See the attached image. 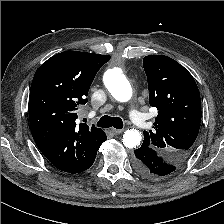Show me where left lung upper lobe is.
<instances>
[{
  "instance_id": "5c2ea615",
  "label": "left lung upper lobe",
  "mask_w": 224,
  "mask_h": 224,
  "mask_svg": "<svg viewBox=\"0 0 224 224\" xmlns=\"http://www.w3.org/2000/svg\"><path fill=\"white\" fill-rule=\"evenodd\" d=\"M150 105L158 109L154 130L144 131V146L152 148L174 167L171 177L192 151L201 123V99L192 75L164 55L143 59Z\"/></svg>"
}]
</instances>
